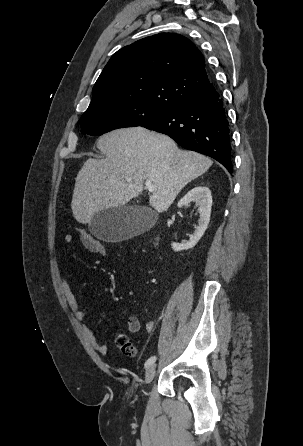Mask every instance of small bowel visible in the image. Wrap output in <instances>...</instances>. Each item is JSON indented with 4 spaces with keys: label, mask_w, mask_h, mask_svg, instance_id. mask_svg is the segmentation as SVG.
Returning a JSON list of instances; mask_svg holds the SVG:
<instances>
[{
    "label": "small bowel",
    "mask_w": 303,
    "mask_h": 446,
    "mask_svg": "<svg viewBox=\"0 0 303 446\" xmlns=\"http://www.w3.org/2000/svg\"><path fill=\"white\" fill-rule=\"evenodd\" d=\"M78 237H79L80 242L82 243V245L84 246V248L86 250H88L89 252H91L93 254H96V251H95L96 239L94 237H92L90 234H80V233H78ZM73 240H74V236L72 234H68L65 236V242L68 246H71V244L73 243ZM61 283H62L63 293L65 295V298H66L69 308L73 312L75 318L78 321H82L85 318V316L88 314V310L82 308L77 297L73 293L69 283L67 282V280L65 278H62ZM155 325H156L155 321L152 319H149L146 322V326H145L146 330L148 332L153 331L155 329ZM126 326H127V329L131 333H137L141 329V322L136 316H129L126 320ZM87 334H88L89 341H90V344L92 345V347L98 353H100L102 355H106L108 352V346L104 343L99 342L97 340L94 332L91 329H87Z\"/></svg>",
    "instance_id": "1"
}]
</instances>
